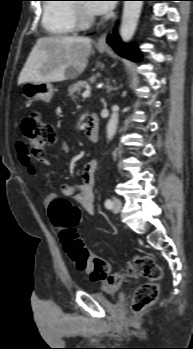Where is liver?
<instances>
[{
	"label": "liver",
	"instance_id": "liver-1",
	"mask_svg": "<svg viewBox=\"0 0 193 349\" xmlns=\"http://www.w3.org/2000/svg\"><path fill=\"white\" fill-rule=\"evenodd\" d=\"M91 39L57 35L39 38L19 75L18 84L25 82H60L69 72L80 74L87 66Z\"/></svg>",
	"mask_w": 193,
	"mask_h": 349
}]
</instances>
